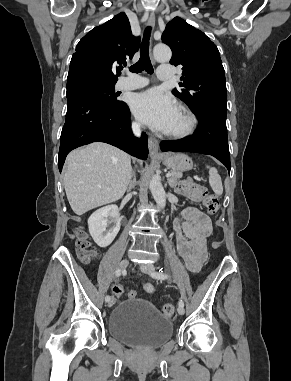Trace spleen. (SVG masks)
Listing matches in <instances>:
<instances>
[{
    "mask_svg": "<svg viewBox=\"0 0 291 381\" xmlns=\"http://www.w3.org/2000/svg\"><path fill=\"white\" fill-rule=\"evenodd\" d=\"M209 169V184L214 191V193L218 196L222 195L223 193V185L221 181V177L218 174V171L214 167L207 166Z\"/></svg>",
    "mask_w": 291,
    "mask_h": 381,
    "instance_id": "3e777b00",
    "label": "spleen"
}]
</instances>
